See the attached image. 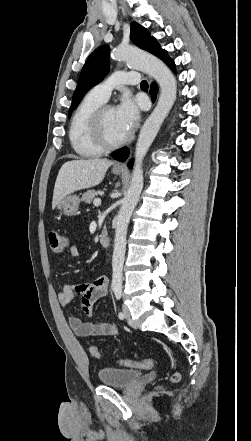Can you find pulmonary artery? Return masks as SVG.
<instances>
[{"label": "pulmonary artery", "mask_w": 251, "mask_h": 441, "mask_svg": "<svg viewBox=\"0 0 251 441\" xmlns=\"http://www.w3.org/2000/svg\"><path fill=\"white\" fill-rule=\"evenodd\" d=\"M139 81L140 78L137 72L117 71L103 82L97 84L92 91L106 101L115 87L126 84L135 85Z\"/></svg>", "instance_id": "e3ab8cb5"}]
</instances>
